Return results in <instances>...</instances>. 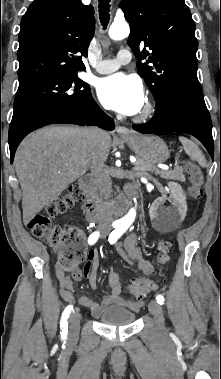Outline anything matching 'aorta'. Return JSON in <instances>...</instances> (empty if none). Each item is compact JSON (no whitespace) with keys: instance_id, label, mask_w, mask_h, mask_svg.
I'll return each mask as SVG.
<instances>
[{"instance_id":"1","label":"aorta","mask_w":221,"mask_h":379,"mask_svg":"<svg viewBox=\"0 0 221 379\" xmlns=\"http://www.w3.org/2000/svg\"><path fill=\"white\" fill-rule=\"evenodd\" d=\"M130 28L127 23H113L109 29V36L113 40H121L128 37ZM136 216V211L131 208L129 212L120 219V223L124 227H128L132 224Z\"/></svg>"}]
</instances>
